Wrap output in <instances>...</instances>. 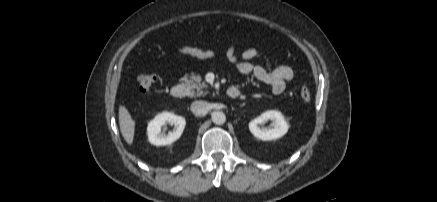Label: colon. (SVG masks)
I'll return each mask as SVG.
<instances>
[{"instance_id":"1","label":"colon","mask_w":437,"mask_h":202,"mask_svg":"<svg viewBox=\"0 0 437 202\" xmlns=\"http://www.w3.org/2000/svg\"><path fill=\"white\" fill-rule=\"evenodd\" d=\"M157 78L154 74L141 73L137 77L138 88L142 93L149 92L156 84ZM311 91L307 87H302L300 90V98L304 102L311 100Z\"/></svg>"}]
</instances>
